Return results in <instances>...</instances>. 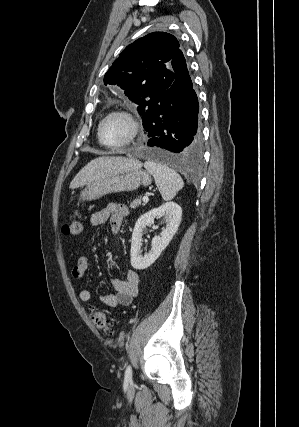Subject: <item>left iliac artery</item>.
Segmentation results:
<instances>
[{
  "label": "left iliac artery",
  "mask_w": 299,
  "mask_h": 427,
  "mask_svg": "<svg viewBox=\"0 0 299 427\" xmlns=\"http://www.w3.org/2000/svg\"><path fill=\"white\" fill-rule=\"evenodd\" d=\"M125 379L128 380V381L132 380V368H131L130 365L126 368Z\"/></svg>",
  "instance_id": "left-iliac-artery-1"
}]
</instances>
